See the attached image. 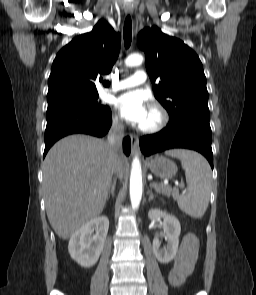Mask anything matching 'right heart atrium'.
Returning a JSON list of instances; mask_svg holds the SVG:
<instances>
[{
    "mask_svg": "<svg viewBox=\"0 0 256 295\" xmlns=\"http://www.w3.org/2000/svg\"><path fill=\"white\" fill-rule=\"evenodd\" d=\"M112 121H113L114 126H116L118 128H121L123 125L122 120L118 115H114Z\"/></svg>",
    "mask_w": 256,
    "mask_h": 295,
    "instance_id": "obj_1",
    "label": "right heart atrium"
}]
</instances>
